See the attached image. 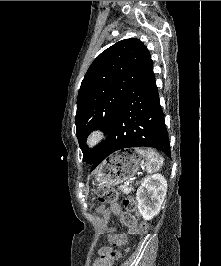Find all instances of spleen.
<instances>
[{
    "label": "spleen",
    "instance_id": "obj_1",
    "mask_svg": "<svg viewBox=\"0 0 221 266\" xmlns=\"http://www.w3.org/2000/svg\"><path fill=\"white\" fill-rule=\"evenodd\" d=\"M137 152L145 157V167L148 173H154L160 170L163 165L164 159L155 150H144L137 148Z\"/></svg>",
    "mask_w": 221,
    "mask_h": 266
}]
</instances>
